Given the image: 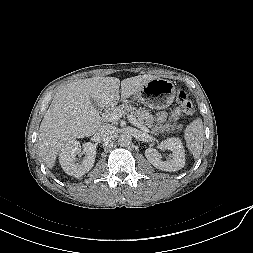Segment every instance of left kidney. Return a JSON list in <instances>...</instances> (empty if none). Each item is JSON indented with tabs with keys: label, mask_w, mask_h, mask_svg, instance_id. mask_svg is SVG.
I'll use <instances>...</instances> for the list:
<instances>
[{
	"label": "left kidney",
	"mask_w": 253,
	"mask_h": 253,
	"mask_svg": "<svg viewBox=\"0 0 253 253\" xmlns=\"http://www.w3.org/2000/svg\"><path fill=\"white\" fill-rule=\"evenodd\" d=\"M159 148L163 150H170L172 152V159L162 161L160 153L153 148H148L145 151L147 160L157 169L175 172L182 169L185 165V151L182 142L179 138H169L159 144Z\"/></svg>",
	"instance_id": "1"
}]
</instances>
